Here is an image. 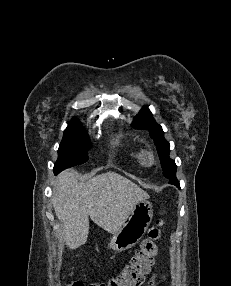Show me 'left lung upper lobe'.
Listing matches in <instances>:
<instances>
[{
	"instance_id": "1",
	"label": "left lung upper lobe",
	"mask_w": 231,
	"mask_h": 286,
	"mask_svg": "<svg viewBox=\"0 0 231 286\" xmlns=\"http://www.w3.org/2000/svg\"><path fill=\"white\" fill-rule=\"evenodd\" d=\"M132 126L137 129L149 130L150 136L157 147L163 174L169 180L175 177L177 167L175 162L169 158L170 144L164 139L162 127L155 122L147 107H144L134 118Z\"/></svg>"
}]
</instances>
